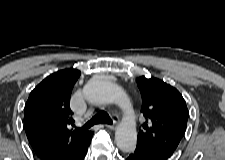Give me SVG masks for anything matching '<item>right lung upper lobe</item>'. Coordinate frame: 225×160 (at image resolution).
I'll use <instances>...</instances> for the list:
<instances>
[{"label":"right lung upper lobe","mask_w":225,"mask_h":160,"mask_svg":"<svg viewBox=\"0 0 225 160\" xmlns=\"http://www.w3.org/2000/svg\"><path fill=\"white\" fill-rule=\"evenodd\" d=\"M79 76L80 71L73 68L55 72L30 93L25 106L24 127L39 157H73L91 141L93 132L73 129L75 121L70 96Z\"/></svg>","instance_id":"1"}]
</instances>
